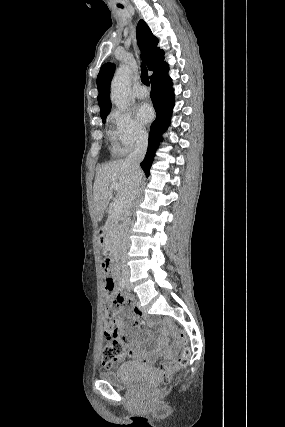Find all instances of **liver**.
Masks as SVG:
<instances>
[{
	"label": "liver",
	"instance_id": "6515ba94",
	"mask_svg": "<svg viewBox=\"0 0 285 427\" xmlns=\"http://www.w3.org/2000/svg\"><path fill=\"white\" fill-rule=\"evenodd\" d=\"M135 175L125 160L109 162L96 173L93 186V201L96 221H101L109 200L112 197L111 185L117 184V198L123 201V208H128L134 187Z\"/></svg>",
	"mask_w": 285,
	"mask_h": 427
}]
</instances>
